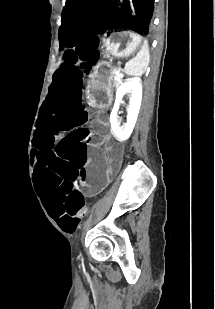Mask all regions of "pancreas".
Wrapping results in <instances>:
<instances>
[{
  "label": "pancreas",
  "mask_w": 215,
  "mask_h": 309,
  "mask_svg": "<svg viewBox=\"0 0 215 309\" xmlns=\"http://www.w3.org/2000/svg\"><path fill=\"white\" fill-rule=\"evenodd\" d=\"M113 74H114V72H113ZM114 76H115V74H114ZM113 84H114V86H119L120 78H119V80H117V78H113Z\"/></svg>",
  "instance_id": "pancreas-1"
}]
</instances>
